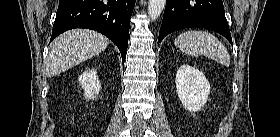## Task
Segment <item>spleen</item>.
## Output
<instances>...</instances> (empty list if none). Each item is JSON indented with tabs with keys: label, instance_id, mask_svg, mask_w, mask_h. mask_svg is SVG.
I'll return each instance as SVG.
<instances>
[{
	"label": "spleen",
	"instance_id": "1",
	"mask_svg": "<svg viewBox=\"0 0 280 137\" xmlns=\"http://www.w3.org/2000/svg\"><path fill=\"white\" fill-rule=\"evenodd\" d=\"M181 51L192 56L204 55L225 66L230 64V55L217 37L206 31L190 30L180 34L174 41Z\"/></svg>",
	"mask_w": 280,
	"mask_h": 137
}]
</instances>
